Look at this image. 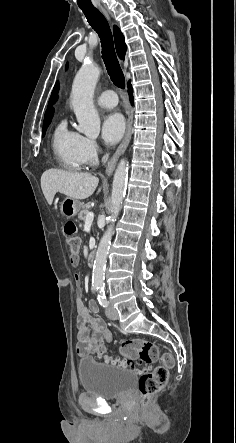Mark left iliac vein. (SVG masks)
Returning <instances> with one entry per match:
<instances>
[{"label": "left iliac vein", "mask_w": 236, "mask_h": 443, "mask_svg": "<svg viewBox=\"0 0 236 443\" xmlns=\"http://www.w3.org/2000/svg\"><path fill=\"white\" fill-rule=\"evenodd\" d=\"M105 314H106V316H107L109 319H111V320H117V319H118V312H117V310H116L114 307H112V306H109V307H107V308L105 309Z\"/></svg>", "instance_id": "4c4485c4"}]
</instances>
